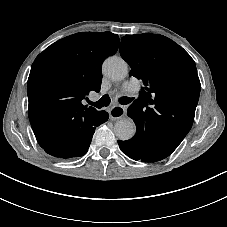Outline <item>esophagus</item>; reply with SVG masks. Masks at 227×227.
Returning a JSON list of instances; mask_svg holds the SVG:
<instances>
[{
	"label": "esophagus",
	"mask_w": 227,
	"mask_h": 227,
	"mask_svg": "<svg viewBox=\"0 0 227 227\" xmlns=\"http://www.w3.org/2000/svg\"><path fill=\"white\" fill-rule=\"evenodd\" d=\"M125 113H126L125 107L121 105H114L109 110V118L111 120H117L122 118L125 115Z\"/></svg>",
	"instance_id": "34e87169"
}]
</instances>
